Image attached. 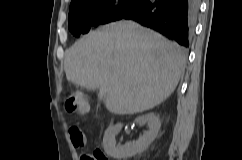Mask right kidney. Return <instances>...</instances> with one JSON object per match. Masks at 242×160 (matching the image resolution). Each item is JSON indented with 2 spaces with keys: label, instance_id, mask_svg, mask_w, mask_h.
Masks as SVG:
<instances>
[{
  "label": "right kidney",
  "instance_id": "ca27d5eb",
  "mask_svg": "<svg viewBox=\"0 0 242 160\" xmlns=\"http://www.w3.org/2000/svg\"><path fill=\"white\" fill-rule=\"evenodd\" d=\"M139 125L147 124L149 130L139 137L136 142L116 145L115 136L122 129V124L110 125L104 133L103 148L105 153L115 159L131 158L145 151L155 140L161 127L159 116L154 113H147L135 119Z\"/></svg>",
  "mask_w": 242,
  "mask_h": 160
}]
</instances>
